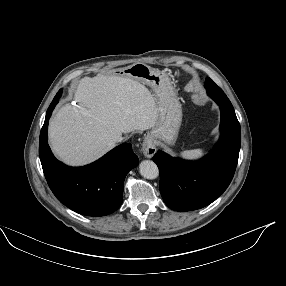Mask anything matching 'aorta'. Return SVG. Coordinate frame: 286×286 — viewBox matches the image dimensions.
Segmentation results:
<instances>
[{"label":"aorta","mask_w":286,"mask_h":286,"mask_svg":"<svg viewBox=\"0 0 286 286\" xmlns=\"http://www.w3.org/2000/svg\"><path fill=\"white\" fill-rule=\"evenodd\" d=\"M140 174L146 179H155L159 175L157 165L151 160H144L139 166Z\"/></svg>","instance_id":"obj_1"}]
</instances>
